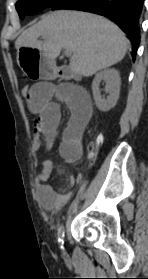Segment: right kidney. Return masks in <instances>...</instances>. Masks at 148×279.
Wrapping results in <instances>:
<instances>
[{"label":"right kidney","mask_w":148,"mask_h":279,"mask_svg":"<svg viewBox=\"0 0 148 279\" xmlns=\"http://www.w3.org/2000/svg\"><path fill=\"white\" fill-rule=\"evenodd\" d=\"M101 81L105 82V91L109 93L107 99H103L99 89ZM121 79L116 69H105L96 74L92 82V92L95 104L100 111L107 112L117 103L120 93Z\"/></svg>","instance_id":"obj_1"}]
</instances>
